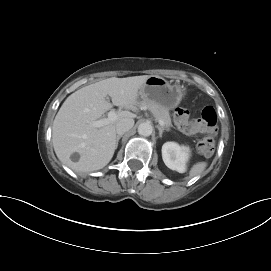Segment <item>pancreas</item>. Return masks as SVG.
Returning <instances> with one entry per match:
<instances>
[{"mask_svg":"<svg viewBox=\"0 0 271 271\" xmlns=\"http://www.w3.org/2000/svg\"><path fill=\"white\" fill-rule=\"evenodd\" d=\"M140 106L146 107L157 120H162L165 124L166 130H169L172 126L169 111L166 108L158 105L157 103L146 101H142Z\"/></svg>","mask_w":271,"mask_h":271,"instance_id":"1","label":"pancreas"}]
</instances>
